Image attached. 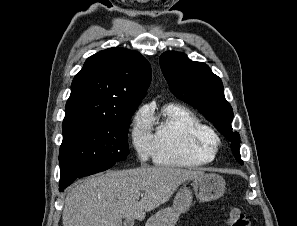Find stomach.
Instances as JSON below:
<instances>
[{
	"label": "stomach",
	"mask_w": 297,
	"mask_h": 226,
	"mask_svg": "<svg viewBox=\"0 0 297 226\" xmlns=\"http://www.w3.org/2000/svg\"><path fill=\"white\" fill-rule=\"evenodd\" d=\"M197 199L208 202L220 198L224 194L225 181L217 174H204L192 182ZM192 192L185 185L176 194L172 207L159 210L151 216L145 226H175L182 213H185L192 204Z\"/></svg>",
	"instance_id": "stomach-1"
}]
</instances>
